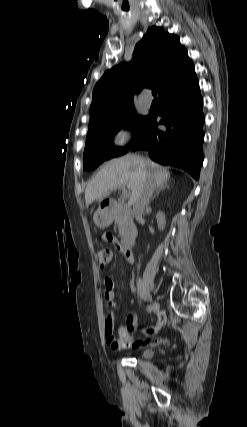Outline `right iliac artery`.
<instances>
[{"label": "right iliac artery", "mask_w": 247, "mask_h": 427, "mask_svg": "<svg viewBox=\"0 0 247 427\" xmlns=\"http://www.w3.org/2000/svg\"><path fill=\"white\" fill-rule=\"evenodd\" d=\"M152 310H153L152 305H148V306H147V311H148V312H151Z\"/></svg>", "instance_id": "82829eb1"}]
</instances>
